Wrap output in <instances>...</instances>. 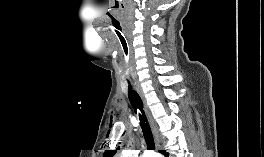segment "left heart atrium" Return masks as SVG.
Wrapping results in <instances>:
<instances>
[{
	"label": "left heart atrium",
	"mask_w": 264,
	"mask_h": 157,
	"mask_svg": "<svg viewBox=\"0 0 264 157\" xmlns=\"http://www.w3.org/2000/svg\"><path fill=\"white\" fill-rule=\"evenodd\" d=\"M147 157H156L154 154L150 155V156H147Z\"/></svg>",
	"instance_id": "obj_1"
}]
</instances>
